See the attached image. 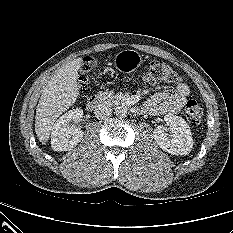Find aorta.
Segmentation results:
<instances>
[{"instance_id": "aorta-1", "label": "aorta", "mask_w": 233, "mask_h": 233, "mask_svg": "<svg viewBox=\"0 0 233 233\" xmlns=\"http://www.w3.org/2000/svg\"><path fill=\"white\" fill-rule=\"evenodd\" d=\"M115 114L119 118H123L127 116V108L124 106H118L115 109Z\"/></svg>"}]
</instances>
